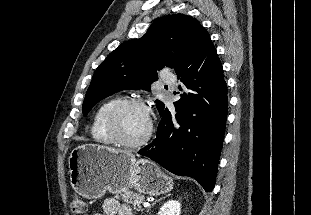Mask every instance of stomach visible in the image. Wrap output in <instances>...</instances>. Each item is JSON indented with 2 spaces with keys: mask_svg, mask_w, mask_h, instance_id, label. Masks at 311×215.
<instances>
[{
  "mask_svg": "<svg viewBox=\"0 0 311 215\" xmlns=\"http://www.w3.org/2000/svg\"><path fill=\"white\" fill-rule=\"evenodd\" d=\"M68 166L72 188L87 199H98L107 191L119 194L130 188L158 196L173 188V179L152 161L136 160L127 153L96 144L73 149Z\"/></svg>",
  "mask_w": 311,
  "mask_h": 215,
  "instance_id": "obj_1",
  "label": "stomach"
}]
</instances>
